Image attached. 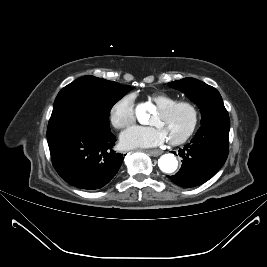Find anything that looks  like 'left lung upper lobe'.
<instances>
[{"mask_svg":"<svg viewBox=\"0 0 267 267\" xmlns=\"http://www.w3.org/2000/svg\"><path fill=\"white\" fill-rule=\"evenodd\" d=\"M169 86L187 95L200 108L201 124L229 121L219 92L212 86L194 78H184L169 83Z\"/></svg>","mask_w":267,"mask_h":267,"instance_id":"5c2ea615","label":"left lung upper lobe"}]
</instances>
